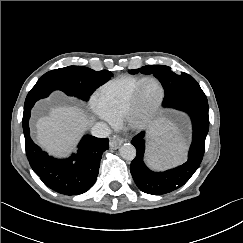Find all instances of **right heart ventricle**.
I'll return each mask as SVG.
<instances>
[{
	"label": "right heart ventricle",
	"instance_id": "e07e8e85",
	"mask_svg": "<svg viewBox=\"0 0 243 243\" xmlns=\"http://www.w3.org/2000/svg\"><path fill=\"white\" fill-rule=\"evenodd\" d=\"M145 79L142 76L122 75L110 80L96 92L93 103L110 119L118 121L129 97Z\"/></svg>",
	"mask_w": 243,
	"mask_h": 243
}]
</instances>
